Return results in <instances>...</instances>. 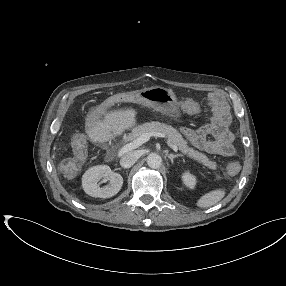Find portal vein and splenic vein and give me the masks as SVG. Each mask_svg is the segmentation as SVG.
Wrapping results in <instances>:
<instances>
[{
    "mask_svg": "<svg viewBox=\"0 0 286 286\" xmlns=\"http://www.w3.org/2000/svg\"><path fill=\"white\" fill-rule=\"evenodd\" d=\"M152 136L164 137V134L160 133V132L143 133L137 139H135L134 141H132V142L126 144L124 147H122L121 150L119 151V155L125 154L128 151H131L133 149L138 148L139 146H141L142 144L147 142L150 139V137H152ZM168 146L170 148H172L175 152L178 150L177 146L173 145L170 141L168 142Z\"/></svg>",
    "mask_w": 286,
    "mask_h": 286,
    "instance_id": "portal-vein-and-splenic-vein-1",
    "label": "portal vein and splenic vein"
}]
</instances>
